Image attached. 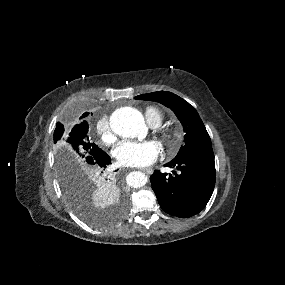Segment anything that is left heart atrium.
Returning a JSON list of instances; mask_svg holds the SVG:
<instances>
[{
  "label": "left heart atrium",
  "instance_id": "left-heart-atrium-1",
  "mask_svg": "<svg viewBox=\"0 0 285 285\" xmlns=\"http://www.w3.org/2000/svg\"><path fill=\"white\" fill-rule=\"evenodd\" d=\"M159 155V147L152 140H124L114 149L118 162L128 167H145L152 164Z\"/></svg>",
  "mask_w": 285,
  "mask_h": 285
}]
</instances>
